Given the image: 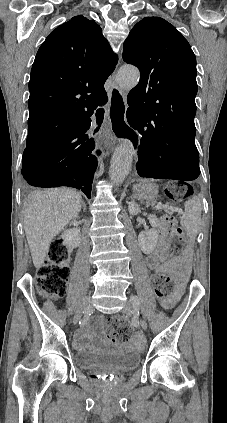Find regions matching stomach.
Segmentation results:
<instances>
[{
  "mask_svg": "<svg viewBox=\"0 0 227 423\" xmlns=\"http://www.w3.org/2000/svg\"><path fill=\"white\" fill-rule=\"evenodd\" d=\"M133 192L142 202H154L158 196V188L155 184H150V182H141V184H136L133 188Z\"/></svg>",
  "mask_w": 227,
  "mask_h": 423,
  "instance_id": "0dacf381",
  "label": "stomach"
}]
</instances>
